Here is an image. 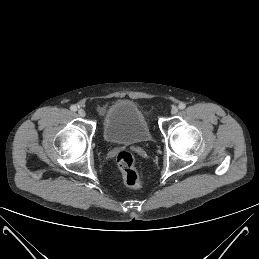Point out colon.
<instances>
[{
    "label": "colon",
    "mask_w": 259,
    "mask_h": 259,
    "mask_svg": "<svg viewBox=\"0 0 259 259\" xmlns=\"http://www.w3.org/2000/svg\"><path fill=\"white\" fill-rule=\"evenodd\" d=\"M124 182L131 188L138 189L142 186V180L137 172L134 155L129 151H121L116 158Z\"/></svg>",
    "instance_id": "obj_1"
}]
</instances>
